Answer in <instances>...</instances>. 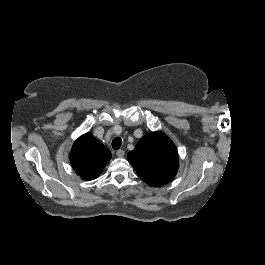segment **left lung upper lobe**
I'll return each instance as SVG.
<instances>
[{"instance_id": "left-lung-upper-lobe-1", "label": "left lung upper lobe", "mask_w": 265, "mask_h": 265, "mask_svg": "<svg viewBox=\"0 0 265 265\" xmlns=\"http://www.w3.org/2000/svg\"><path fill=\"white\" fill-rule=\"evenodd\" d=\"M127 158L139 177L154 187L172 181L179 167L177 149L163 132L146 134Z\"/></svg>"}]
</instances>
